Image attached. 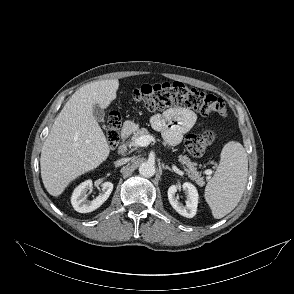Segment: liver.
<instances>
[{
	"instance_id": "1",
	"label": "liver",
	"mask_w": 294,
	"mask_h": 294,
	"mask_svg": "<svg viewBox=\"0 0 294 294\" xmlns=\"http://www.w3.org/2000/svg\"><path fill=\"white\" fill-rule=\"evenodd\" d=\"M117 79L82 86L67 101L45 139L40 158L47 192L59 196L80 175L104 162L110 148L93 116V106L107 108L116 99Z\"/></svg>"
}]
</instances>
